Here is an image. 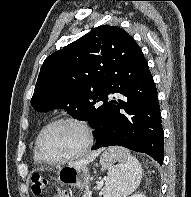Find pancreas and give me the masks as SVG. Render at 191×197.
Instances as JSON below:
<instances>
[{"mask_svg":"<svg viewBox=\"0 0 191 197\" xmlns=\"http://www.w3.org/2000/svg\"><path fill=\"white\" fill-rule=\"evenodd\" d=\"M82 197H92V194L88 190H85Z\"/></svg>","mask_w":191,"mask_h":197,"instance_id":"cf45deb5","label":"pancreas"}]
</instances>
